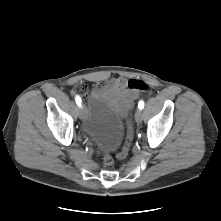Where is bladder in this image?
<instances>
[{
    "label": "bladder",
    "instance_id": "bladder-1",
    "mask_svg": "<svg viewBox=\"0 0 221 221\" xmlns=\"http://www.w3.org/2000/svg\"><path fill=\"white\" fill-rule=\"evenodd\" d=\"M84 130L104 151L117 149L124 138L123 113L115 107L109 97L95 93L89 98Z\"/></svg>",
    "mask_w": 221,
    "mask_h": 221
}]
</instances>
